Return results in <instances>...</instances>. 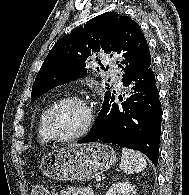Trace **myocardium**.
<instances>
[{
	"mask_svg": "<svg viewBox=\"0 0 189 195\" xmlns=\"http://www.w3.org/2000/svg\"><path fill=\"white\" fill-rule=\"evenodd\" d=\"M67 104H79L83 106L87 110L88 118L85 126L81 131L76 134L69 135V136H62L59 135L53 126V119L60 108ZM95 121V112L86 99L80 96H70L66 98H62L58 100L48 111L46 118H45V128L47 130L48 135L51 137L52 140L58 142H71L77 139L82 138L85 136L92 128Z\"/></svg>",
	"mask_w": 189,
	"mask_h": 195,
	"instance_id": "f54148a6",
	"label": "myocardium"
}]
</instances>
